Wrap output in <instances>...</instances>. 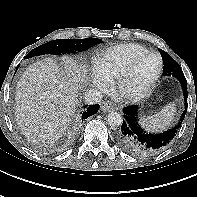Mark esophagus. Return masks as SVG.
<instances>
[{
    "label": "esophagus",
    "instance_id": "esophagus-1",
    "mask_svg": "<svg viewBox=\"0 0 197 197\" xmlns=\"http://www.w3.org/2000/svg\"><path fill=\"white\" fill-rule=\"evenodd\" d=\"M114 109H115V107L111 102H103L102 105H101V110L103 112H109V111L114 110Z\"/></svg>",
    "mask_w": 197,
    "mask_h": 197
}]
</instances>
